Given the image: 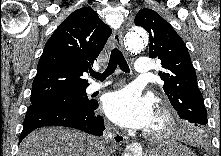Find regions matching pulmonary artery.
Here are the masks:
<instances>
[{
    "mask_svg": "<svg viewBox=\"0 0 221 156\" xmlns=\"http://www.w3.org/2000/svg\"><path fill=\"white\" fill-rule=\"evenodd\" d=\"M135 72L139 75H147L151 71V63L148 58L141 57L138 58L135 63ZM111 82L105 81V82H94L90 84L88 90L89 92H95L98 91L106 86H108Z\"/></svg>",
    "mask_w": 221,
    "mask_h": 156,
    "instance_id": "e3ab8cb5",
    "label": "pulmonary artery"
}]
</instances>
